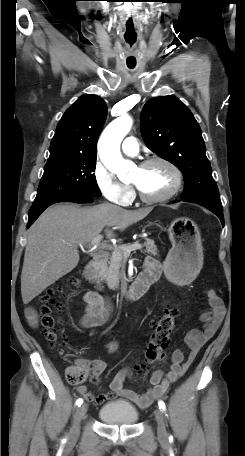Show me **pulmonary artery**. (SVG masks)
<instances>
[{
	"label": "pulmonary artery",
	"instance_id": "obj_1",
	"mask_svg": "<svg viewBox=\"0 0 245 456\" xmlns=\"http://www.w3.org/2000/svg\"><path fill=\"white\" fill-rule=\"evenodd\" d=\"M121 148L125 154L130 155V156H135L139 152V144H138L136 138L133 136H129V137L125 138L122 143Z\"/></svg>",
	"mask_w": 245,
	"mask_h": 456
}]
</instances>
